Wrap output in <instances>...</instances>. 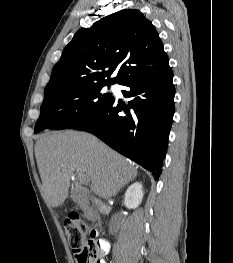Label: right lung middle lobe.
I'll return each instance as SVG.
<instances>
[{"label":"right lung middle lobe","instance_id":"dd1d6c3e","mask_svg":"<svg viewBox=\"0 0 233 263\" xmlns=\"http://www.w3.org/2000/svg\"><path fill=\"white\" fill-rule=\"evenodd\" d=\"M105 85H89L44 98L35 133L44 129L73 128L90 118L113 100L111 93L101 92Z\"/></svg>","mask_w":233,"mask_h":263}]
</instances>
